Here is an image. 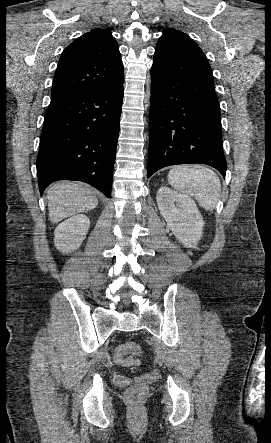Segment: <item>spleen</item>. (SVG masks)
I'll return each instance as SVG.
<instances>
[{
	"mask_svg": "<svg viewBox=\"0 0 271 443\" xmlns=\"http://www.w3.org/2000/svg\"><path fill=\"white\" fill-rule=\"evenodd\" d=\"M168 182L174 190L193 196L204 210H214L221 194V182L205 166H174L168 174Z\"/></svg>",
	"mask_w": 271,
	"mask_h": 443,
	"instance_id": "3e777b00",
	"label": "spleen"
}]
</instances>
